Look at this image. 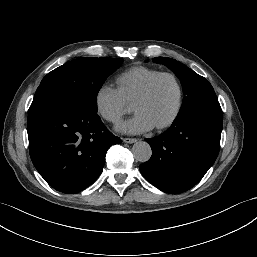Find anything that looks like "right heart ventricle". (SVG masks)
Here are the masks:
<instances>
[{"label": "right heart ventricle", "mask_w": 257, "mask_h": 257, "mask_svg": "<svg viewBox=\"0 0 257 257\" xmlns=\"http://www.w3.org/2000/svg\"><path fill=\"white\" fill-rule=\"evenodd\" d=\"M160 73V70L143 66L130 68L116 78L117 89L128 103H133L144 87Z\"/></svg>", "instance_id": "right-heart-ventricle-1"}]
</instances>
